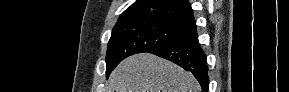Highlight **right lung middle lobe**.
Masks as SVG:
<instances>
[{
	"mask_svg": "<svg viewBox=\"0 0 289 92\" xmlns=\"http://www.w3.org/2000/svg\"><path fill=\"white\" fill-rule=\"evenodd\" d=\"M189 29L187 25L146 18L117 22L108 43L106 76L126 57L168 44Z\"/></svg>",
	"mask_w": 289,
	"mask_h": 92,
	"instance_id": "dd1d6c3e",
	"label": "right lung middle lobe"
}]
</instances>
